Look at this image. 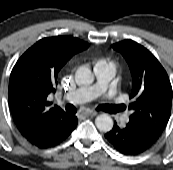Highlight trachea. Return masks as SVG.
Instances as JSON below:
<instances>
[{
    "instance_id": "3493384b",
    "label": "trachea",
    "mask_w": 173,
    "mask_h": 170,
    "mask_svg": "<svg viewBox=\"0 0 173 170\" xmlns=\"http://www.w3.org/2000/svg\"><path fill=\"white\" fill-rule=\"evenodd\" d=\"M65 109H66L67 112H71V113H76V112H77L76 107L73 106L72 104H67V105L65 106ZM104 110H106V111H108V112H111V113H114V112L118 111L117 107H115V106H110V105L105 106V109H104Z\"/></svg>"
}]
</instances>
